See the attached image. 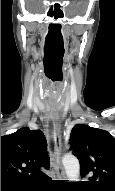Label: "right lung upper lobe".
Listing matches in <instances>:
<instances>
[{
	"mask_svg": "<svg viewBox=\"0 0 115 191\" xmlns=\"http://www.w3.org/2000/svg\"><path fill=\"white\" fill-rule=\"evenodd\" d=\"M46 146L42 131L28 127L1 136V187H26L49 178L40 171L49 167Z\"/></svg>",
	"mask_w": 115,
	"mask_h": 191,
	"instance_id": "cb5924a9",
	"label": "right lung upper lobe"
}]
</instances>
